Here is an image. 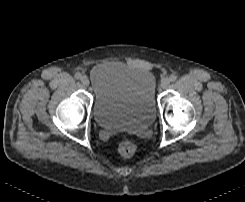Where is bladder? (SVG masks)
Returning a JSON list of instances; mask_svg holds the SVG:
<instances>
[{"label": "bladder", "instance_id": "1", "mask_svg": "<svg viewBox=\"0 0 245 202\" xmlns=\"http://www.w3.org/2000/svg\"><path fill=\"white\" fill-rule=\"evenodd\" d=\"M94 122L104 129L148 127L158 110L156 79L124 62L100 63L90 73Z\"/></svg>", "mask_w": 245, "mask_h": 202}]
</instances>
